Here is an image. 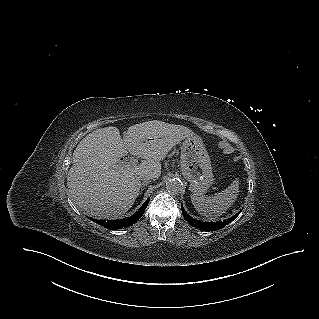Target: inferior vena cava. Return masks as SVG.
Returning a JSON list of instances; mask_svg holds the SVG:
<instances>
[{
	"label": "inferior vena cava",
	"instance_id": "obj_1",
	"mask_svg": "<svg viewBox=\"0 0 319 319\" xmlns=\"http://www.w3.org/2000/svg\"><path fill=\"white\" fill-rule=\"evenodd\" d=\"M139 178L143 181H149L155 178V174L153 172H142L139 174Z\"/></svg>",
	"mask_w": 319,
	"mask_h": 319
}]
</instances>
